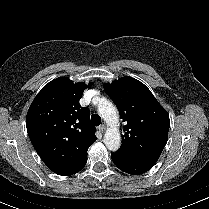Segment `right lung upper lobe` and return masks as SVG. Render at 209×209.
I'll use <instances>...</instances> for the list:
<instances>
[{"mask_svg":"<svg viewBox=\"0 0 209 209\" xmlns=\"http://www.w3.org/2000/svg\"><path fill=\"white\" fill-rule=\"evenodd\" d=\"M60 77L46 84L33 100L26 117L31 143L56 174L67 176L86 159L96 141L87 107L79 100L86 87Z\"/></svg>","mask_w":209,"mask_h":209,"instance_id":"right-lung-upper-lobe-1","label":"right lung upper lobe"}]
</instances>
